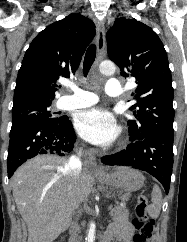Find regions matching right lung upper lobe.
Here are the masks:
<instances>
[{
  "label": "right lung upper lobe",
  "mask_w": 187,
  "mask_h": 242,
  "mask_svg": "<svg viewBox=\"0 0 187 242\" xmlns=\"http://www.w3.org/2000/svg\"><path fill=\"white\" fill-rule=\"evenodd\" d=\"M94 35V23L80 14H70L41 31L24 55L13 106L52 102L57 80L75 73Z\"/></svg>",
  "instance_id": "obj_1"
}]
</instances>
